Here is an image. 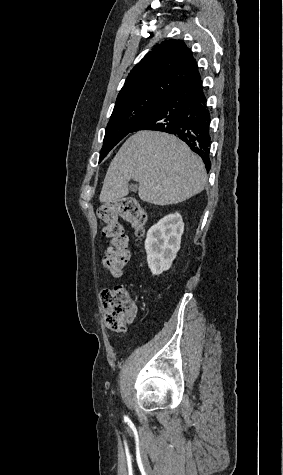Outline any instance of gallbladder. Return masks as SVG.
Masks as SVG:
<instances>
[{"label":"gallbladder","instance_id":"1","mask_svg":"<svg viewBox=\"0 0 283 475\" xmlns=\"http://www.w3.org/2000/svg\"><path fill=\"white\" fill-rule=\"evenodd\" d=\"M130 190H131V192H136L137 186H135V184H131Z\"/></svg>","mask_w":283,"mask_h":475}]
</instances>
